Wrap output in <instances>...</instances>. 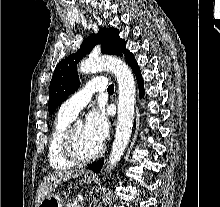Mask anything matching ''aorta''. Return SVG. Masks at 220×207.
<instances>
[{"instance_id":"762f6f07","label":"aorta","mask_w":220,"mask_h":207,"mask_svg":"<svg viewBox=\"0 0 220 207\" xmlns=\"http://www.w3.org/2000/svg\"><path fill=\"white\" fill-rule=\"evenodd\" d=\"M101 70H108L115 75L119 92L116 133L107 165V171H110L118 164L130 141L134 121L136 87L131 70L126 63L117 57H89L79 66V72L83 74Z\"/></svg>"}]
</instances>
